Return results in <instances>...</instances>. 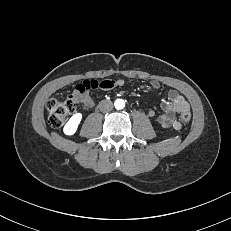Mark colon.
I'll return each instance as SVG.
<instances>
[{"label":"colon","instance_id":"colon-1","mask_svg":"<svg viewBox=\"0 0 231 231\" xmlns=\"http://www.w3.org/2000/svg\"><path fill=\"white\" fill-rule=\"evenodd\" d=\"M48 121L52 127L62 126L68 117L75 111V100L70 96L64 100L51 98L47 102ZM190 111H184L180 115L182 122L187 123L190 121Z\"/></svg>","mask_w":231,"mask_h":231}]
</instances>
